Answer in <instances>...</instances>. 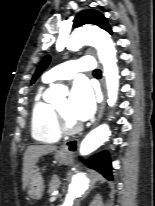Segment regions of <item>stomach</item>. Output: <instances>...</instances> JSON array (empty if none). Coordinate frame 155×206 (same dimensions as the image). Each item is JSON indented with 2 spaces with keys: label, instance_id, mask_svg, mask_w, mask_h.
I'll return each instance as SVG.
<instances>
[{
  "label": "stomach",
  "instance_id": "1",
  "mask_svg": "<svg viewBox=\"0 0 155 206\" xmlns=\"http://www.w3.org/2000/svg\"><path fill=\"white\" fill-rule=\"evenodd\" d=\"M56 159L63 164L71 162L72 156L69 152L60 150L56 152ZM28 194L32 199L38 200L42 197L44 191L43 178L38 171L31 175L28 185Z\"/></svg>",
  "mask_w": 155,
  "mask_h": 206
}]
</instances>
